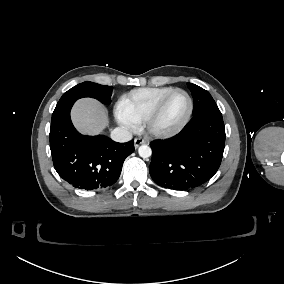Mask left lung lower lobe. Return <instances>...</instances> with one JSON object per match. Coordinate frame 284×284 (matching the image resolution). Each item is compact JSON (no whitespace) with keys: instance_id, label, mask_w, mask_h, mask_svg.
Returning <instances> with one entry per match:
<instances>
[{"instance_id":"left-lung-lower-lobe-1","label":"left lung lower lobe","mask_w":284,"mask_h":284,"mask_svg":"<svg viewBox=\"0 0 284 284\" xmlns=\"http://www.w3.org/2000/svg\"><path fill=\"white\" fill-rule=\"evenodd\" d=\"M149 172L153 181L172 190H190L217 172L225 146V127L219 109L204 111L176 136L150 143Z\"/></svg>"}]
</instances>
